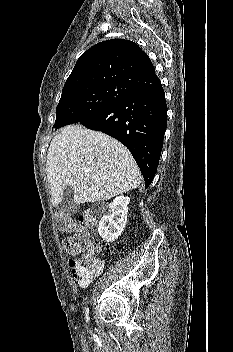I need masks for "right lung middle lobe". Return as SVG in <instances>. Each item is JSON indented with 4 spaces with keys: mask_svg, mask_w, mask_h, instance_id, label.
I'll return each mask as SVG.
<instances>
[{
    "mask_svg": "<svg viewBox=\"0 0 233 352\" xmlns=\"http://www.w3.org/2000/svg\"><path fill=\"white\" fill-rule=\"evenodd\" d=\"M134 92L126 86L109 84L78 88L62 94L53 128L84 121Z\"/></svg>",
    "mask_w": 233,
    "mask_h": 352,
    "instance_id": "obj_1",
    "label": "right lung middle lobe"
}]
</instances>
